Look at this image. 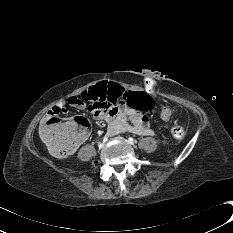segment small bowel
Returning a JSON list of instances; mask_svg holds the SVG:
<instances>
[{
    "label": "small bowel",
    "mask_w": 233,
    "mask_h": 233,
    "mask_svg": "<svg viewBox=\"0 0 233 233\" xmlns=\"http://www.w3.org/2000/svg\"><path fill=\"white\" fill-rule=\"evenodd\" d=\"M66 107L79 110L87 109L88 112H93L95 119L104 120L108 123V132L112 135L122 132H129L140 136H151L154 134L146 116L138 112L137 109L124 107L120 103L116 107L112 105L107 106L102 103L87 105L85 102L79 101L78 97H71L65 100L59 107L51 109L49 114L52 115L55 112H61Z\"/></svg>",
    "instance_id": "1"
}]
</instances>
